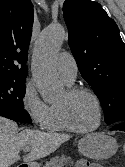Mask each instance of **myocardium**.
<instances>
[{
	"label": "myocardium",
	"instance_id": "obj_1",
	"mask_svg": "<svg viewBox=\"0 0 125 167\" xmlns=\"http://www.w3.org/2000/svg\"><path fill=\"white\" fill-rule=\"evenodd\" d=\"M66 94H67L68 98H74L80 94H86L94 100V102L97 106V110H98L97 123L93 127H90L87 129H81V128L76 127L74 125V123L72 122L67 106L57 104V108L59 110L61 119H62L64 125L66 126V128L68 130H70L74 133H78V134H87V133H91V132L98 130L100 128V126L102 124V120H103V107H102V103H101L99 97L91 89L84 87V86H72V87L67 89Z\"/></svg>",
	"mask_w": 125,
	"mask_h": 167
}]
</instances>
